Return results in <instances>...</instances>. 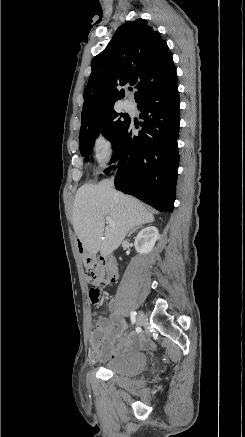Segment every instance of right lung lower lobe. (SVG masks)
Returning <instances> with one entry per match:
<instances>
[{"mask_svg":"<svg viewBox=\"0 0 245 437\" xmlns=\"http://www.w3.org/2000/svg\"><path fill=\"white\" fill-rule=\"evenodd\" d=\"M136 102L144 120L140 123L143 131L136 136L130 120L113 148L110 164L118 162L115 186L159 211L172 212L179 165L178 85ZM114 168L110 166L106 172Z\"/></svg>","mask_w":245,"mask_h":437,"instance_id":"98d812e1","label":"right lung lower lobe"}]
</instances>
